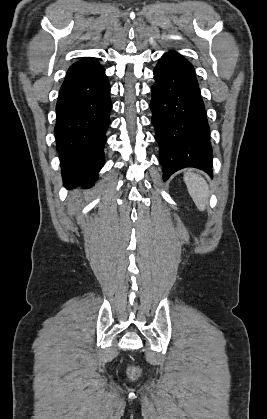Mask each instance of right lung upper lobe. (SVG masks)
I'll return each instance as SVG.
<instances>
[{
	"instance_id": "right-lung-upper-lobe-1",
	"label": "right lung upper lobe",
	"mask_w": 267,
	"mask_h": 419,
	"mask_svg": "<svg viewBox=\"0 0 267 419\" xmlns=\"http://www.w3.org/2000/svg\"><path fill=\"white\" fill-rule=\"evenodd\" d=\"M82 60H84V61H95V59H93V58H84Z\"/></svg>"
}]
</instances>
